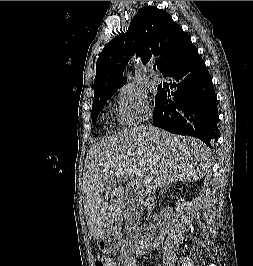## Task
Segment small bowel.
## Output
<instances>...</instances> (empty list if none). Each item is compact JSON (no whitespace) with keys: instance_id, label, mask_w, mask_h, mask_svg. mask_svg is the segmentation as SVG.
I'll use <instances>...</instances> for the list:
<instances>
[{"instance_id":"1","label":"small bowel","mask_w":253,"mask_h":266,"mask_svg":"<svg viewBox=\"0 0 253 266\" xmlns=\"http://www.w3.org/2000/svg\"><path fill=\"white\" fill-rule=\"evenodd\" d=\"M122 259H123V258H120L118 263L115 262V261H113V262H114V266H117V264H119L120 266H123ZM129 266H137V265H136V263H134V262H130V263H129Z\"/></svg>"}]
</instances>
